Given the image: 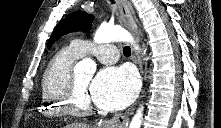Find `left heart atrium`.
<instances>
[{
  "label": "left heart atrium",
  "instance_id": "obj_1",
  "mask_svg": "<svg viewBox=\"0 0 221 128\" xmlns=\"http://www.w3.org/2000/svg\"><path fill=\"white\" fill-rule=\"evenodd\" d=\"M139 79L126 67H106L94 78L89 88L90 100L99 108L115 111L128 106L135 99Z\"/></svg>",
  "mask_w": 221,
  "mask_h": 128
}]
</instances>
